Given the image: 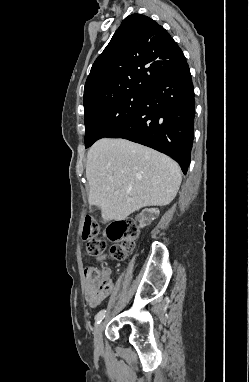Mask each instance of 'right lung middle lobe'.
I'll return each instance as SVG.
<instances>
[{"mask_svg":"<svg viewBox=\"0 0 249 382\" xmlns=\"http://www.w3.org/2000/svg\"><path fill=\"white\" fill-rule=\"evenodd\" d=\"M146 92H131L112 101L84 108L85 147L107 137L128 122L143 106Z\"/></svg>","mask_w":249,"mask_h":382,"instance_id":"obj_1","label":"right lung middle lobe"}]
</instances>
